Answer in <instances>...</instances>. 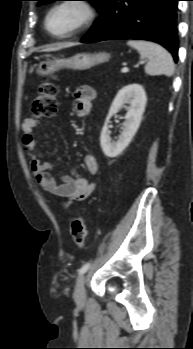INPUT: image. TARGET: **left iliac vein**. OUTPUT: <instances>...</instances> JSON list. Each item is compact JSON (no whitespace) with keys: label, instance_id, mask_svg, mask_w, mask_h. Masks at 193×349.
Listing matches in <instances>:
<instances>
[{"label":"left iliac vein","instance_id":"obj_1","mask_svg":"<svg viewBox=\"0 0 193 349\" xmlns=\"http://www.w3.org/2000/svg\"><path fill=\"white\" fill-rule=\"evenodd\" d=\"M73 297L78 306H83L86 302L85 275L83 274L76 280Z\"/></svg>","mask_w":193,"mask_h":349}]
</instances>
